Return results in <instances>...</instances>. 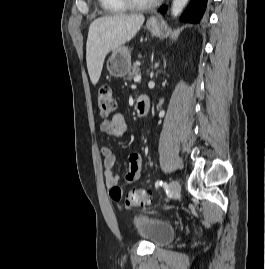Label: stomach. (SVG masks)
Listing matches in <instances>:
<instances>
[{
	"mask_svg": "<svg viewBox=\"0 0 265 269\" xmlns=\"http://www.w3.org/2000/svg\"><path fill=\"white\" fill-rule=\"evenodd\" d=\"M148 30L154 36H161L163 24L156 18H151L146 24ZM131 69V54L127 47L120 46L113 50L112 55L107 61V70L113 77H124Z\"/></svg>",
	"mask_w": 265,
	"mask_h": 269,
	"instance_id": "0dacf381",
	"label": "stomach"
}]
</instances>
